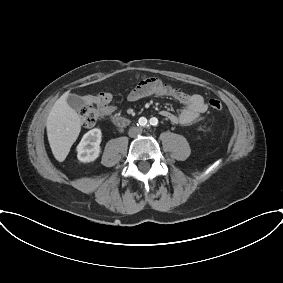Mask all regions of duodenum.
I'll return each mask as SVG.
<instances>
[{"label":"duodenum","instance_id":"410a0bca","mask_svg":"<svg viewBox=\"0 0 283 283\" xmlns=\"http://www.w3.org/2000/svg\"><path fill=\"white\" fill-rule=\"evenodd\" d=\"M129 122L130 120L123 116H115L112 118V123L117 127H125Z\"/></svg>","mask_w":283,"mask_h":283}]
</instances>
